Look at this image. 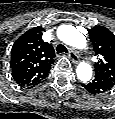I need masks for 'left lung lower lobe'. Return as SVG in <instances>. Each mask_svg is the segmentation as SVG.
Here are the masks:
<instances>
[{"label": "left lung lower lobe", "instance_id": "1", "mask_svg": "<svg viewBox=\"0 0 115 119\" xmlns=\"http://www.w3.org/2000/svg\"><path fill=\"white\" fill-rule=\"evenodd\" d=\"M114 85L115 83L112 82L110 79L96 73L94 79L91 82L82 84L84 89L91 94L107 93L112 89Z\"/></svg>", "mask_w": 115, "mask_h": 119}]
</instances>
